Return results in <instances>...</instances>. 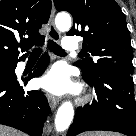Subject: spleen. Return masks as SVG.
<instances>
[{"mask_svg":"<svg viewBox=\"0 0 136 136\" xmlns=\"http://www.w3.org/2000/svg\"><path fill=\"white\" fill-rule=\"evenodd\" d=\"M84 136H120L117 134H111V133H102V132H95V133H88Z\"/></svg>","mask_w":136,"mask_h":136,"instance_id":"1","label":"spleen"}]
</instances>
